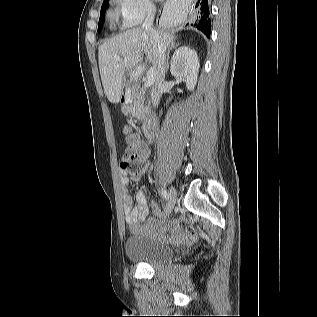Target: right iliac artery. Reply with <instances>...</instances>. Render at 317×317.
<instances>
[{
    "label": "right iliac artery",
    "mask_w": 317,
    "mask_h": 317,
    "mask_svg": "<svg viewBox=\"0 0 317 317\" xmlns=\"http://www.w3.org/2000/svg\"><path fill=\"white\" fill-rule=\"evenodd\" d=\"M161 195H162V197H163L165 200H168V199H169V193L167 192V190L162 189V190H161Z\"/></svg>",
    "instance_id": "right-iliac-artery-1"
}]
</instances>
